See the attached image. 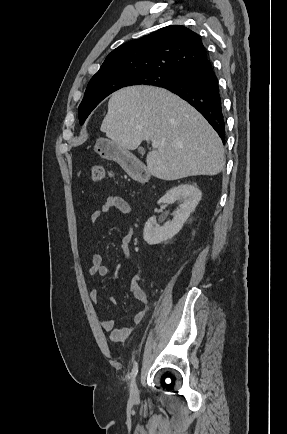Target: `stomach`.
<instances>
[{
  "mask_svg": "<svg viewBox=\"0 0 287 434\" xmlns=\"http://www.w3.org/2000/svg\"><path fill=\"white\" fill-rule=\"evenodd\" d=\"M95 150L101 157L115 161L123 167H127L128 162L133 158L128 150L107 139H99L96 142Z\"/></svg>",
  "mask_w": 287,
  "mask_h": 434,
  "instance_id": "1",
  "label": "stomach"
}]
</instances>
